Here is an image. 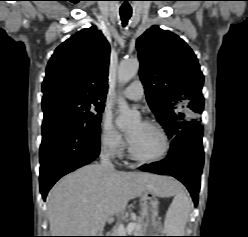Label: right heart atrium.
<instances>
[{
	"label": "right heart atrium",
	"instance_id": "obj_1",
	"mask_svg": "<svg viewBox=\"0 0 248 237\" xmlns=\"http://www.w3.org/2000/svg\"><path fill=\"white\" fill-rule=\"evenodd\" d=\"M101 145L113 155H120L124 149L125 142L122 134L113 124L109 114H104L100 129Z\"/></svg>",
	"mask_w": 248,
	"mask_h": 237
}]
</instances>
